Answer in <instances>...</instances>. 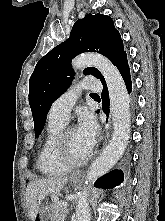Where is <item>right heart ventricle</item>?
Segmentation results:
<instances>
[{
	"label": "right heart ventricle",
	"instance_id": "obj_1",
	"mask_svg": "<svg viewBox=\"0 0 165 221\" xmlns=\"http://www.w3.org/2000/svg\"><path fill=\"white\" fill-rule=\"evenodd\" d=\"M64 126L63 122L48 120L37 161L38 169L44 175L59 176L70 169L60 164L55 155V142Z\"/></svg>",
	"mask_w": 165,
	"mask_h": 221
}]
</instances>
